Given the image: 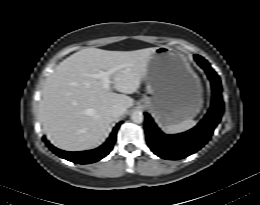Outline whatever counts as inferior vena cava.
<instances>
[{
    "label": "inferior vena cava",
    "mask_w": 260,
    "mask_h": 205,
    "mask_svg": "<svg viewBox=\"0 0 260 205\" xmlns=\"http://www.w3.org/2000/svg\"><path fill=\"white\" fill-rule=\"evenodd\" d=\"M125 110H126L125 107L121 105H115L109 110V115L112 118L116 119L122 116L125 113Z\"/></svg>",
    "instance_id": "602c4592"
}]
</instances>
